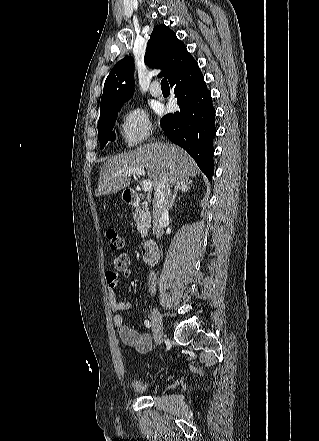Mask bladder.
Returning a JSON list of instances; mask_svg holds the SVG:
<instances>
[{"label":"bladder","mask_w":319,"mask_h":441,"mask_svg":"<svg viewBox=\"0 0 319 441\" xmlns=\"http://www.w3.org/2000/svg\"><path fill=\"white\" fill-rule=\"evenodd\" d=\"M154 385L155 382L151 380H136L133 383L135 390L143 394L150 392V390L153 389Z\"/></svg>","instance_id":"bladder-1"}]
</instances>
